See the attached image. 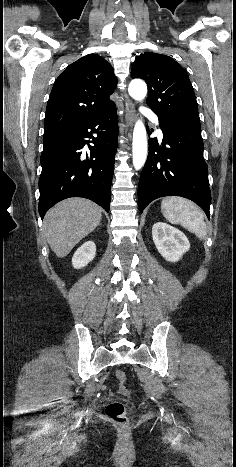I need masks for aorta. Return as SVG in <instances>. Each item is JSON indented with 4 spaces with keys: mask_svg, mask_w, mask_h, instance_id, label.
I'll list each match as a JSON object with an SVG mask.
<instances>
[{
    "mask_svg": "<svg viewBox=\"0 0 236 467\" xmlns=\"http://www.w3.org/2000/svg\"><path fill=\"white\" fill-rule=\"evenodd\" d=\"M128 92L133 99L141 101L147 94V85L140 79H134L129 84ZM132 156L134 168L140 170L147 158V134L142 120H138L134 126Z\"/></svg>",
    "mask_w": 236,
    "mask_h": 467,
    "instance_id": "aorta-1",
    "label": "aorta"
}]
</instances>
